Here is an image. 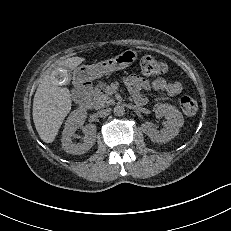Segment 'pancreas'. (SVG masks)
Segmentation results:
<instances>
[{
  "instance_id": "1",
  "label": "pancreas",
  "mask_w": 231,
  "mask_h": 231,
  "mask_svg": "<svg viewBox=\"0 0 231 231\" xmlns=\"http://www.w3.org/2000/svg\"><path fill=\"white\" fill-rule=\"evenodd\" d=\"M105 86L106 84L99 83L93 89L92 96L90 98V104L95 109L106 107L114 102L113 99L108 96V94L102 92Z\"/></svg>"
}]
</instances>
